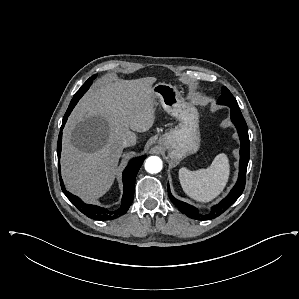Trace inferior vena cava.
<instances>
[{"instance_id": "inferior-vena-cava-1", "label": "inferior vena cava", "mask_w": 299, "mask_h": 299, "mask_svg": "<svg viewBox=\"0 0 299 299\" xmlns=\"http://www.w3.org/2000/svg\"><path fill=\"white\" fill-rule=\"evenodd\" d=\"M136 134L133 132H129L122 140L123 147L134 146L136 144Z\"/></svg>"}]
</instances>
